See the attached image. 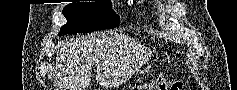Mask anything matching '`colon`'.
<instances>
[{"mask_svg":"<svg viewBox=\"0 0 237 90\" xmlns=\"http://www.w3.org/2000/svg\"><path fill=\"white\" fill-rule=\"evenodd\" d=\"M182 85V80H169L159 77L150 82L137 83L131 90H179L182 88Z\"/></svg>","mask_w":237,"mask_h":90,"instance_id":"obj_1","label":"colon"}]
</instances>
